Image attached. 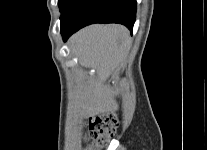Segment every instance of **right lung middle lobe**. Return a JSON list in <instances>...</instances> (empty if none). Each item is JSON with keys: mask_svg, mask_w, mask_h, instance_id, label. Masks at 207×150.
<instances>
[{"mask_svg": "<svg viewBox=\"0 0 207 150\" xmlns=\"http://www.w3.org/2000/svg\"><path fill=\"white\" fill-rule=\"evenodd\" d=\"M71 2L72 0H58L60 12H62Z\"/></svg>", "mask_w": 207, "mask_h": 150, "instance_id": "obj_1", "label": "right lung middle lobe"}]
</instances>
